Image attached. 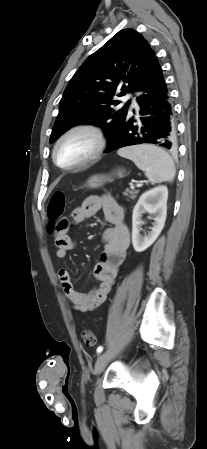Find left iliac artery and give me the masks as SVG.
I'll list each match as a JSON object with an SVG mask.
<instances>
[{
    "label": "left iliac artery",
    "mask_w": 207,
    "mask_h": 449,
    "mask_svg": "<svg viewBox=\"0 0 207 449\" xmlns=\"http://www.w3.org/2000/svg\"><path fill=\"white\" fill-rule=\"evenodd\" d=\"M103 351V346H99L98 348H97V353H101Z\"/></svg>",
    "instance_id": "obj_1"
}]
</instances>
